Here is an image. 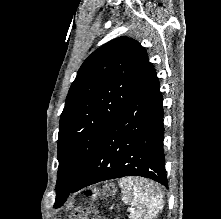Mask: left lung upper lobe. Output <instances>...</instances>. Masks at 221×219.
<instances>
[{"label": "left lung upper lobe", "instance_id": "obj_1", "mask_svg": "<svg viewBox=\"0 0 221 219\" xmlns=\"http://www.w3.org/2000/svg\"><path fill=\"white\" fill-rule=\"evenodd\" d=\"M153 70L146 50L128 37L111 40L84 61L60 118L55 208L66 201L105 132Z\"/></svg>", "mask_w": 221, "mask_h": 219}]
</instances>
